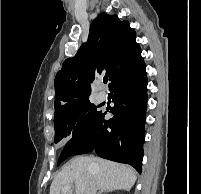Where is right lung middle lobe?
I'll list each match as a JSON object with an SVG mask.
<instances>
[{"instance_id":"dd1d6c3e","label":"right lung middle lobe","mask_w":201,"mask_h":194,"mask_svg":"<svg viewBox=\"0 0 201 194\" xmlns=\"http://www.w3.org/2000/svg\"><path fill=\"white\" fill-rule=\"evenodd\" d=\"M100 113L101 111H98L97 106L86 100L70 114L54 119L55 143L62 139H73L83 134L98 118ZM70 156L71 154L61 153L58 165Z\"/></svg>"}]
</instances>
